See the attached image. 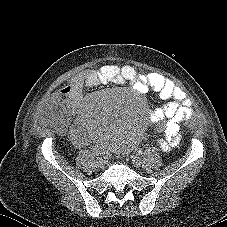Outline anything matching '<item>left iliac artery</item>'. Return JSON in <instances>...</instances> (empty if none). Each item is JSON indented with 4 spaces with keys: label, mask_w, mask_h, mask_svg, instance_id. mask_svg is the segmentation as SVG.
<instances>
[{
    "label": "left iliac artery",
    "mask_w": 227,
    "mask_h": 227,
    "mask_svg": "<svg viewBox=\"0 0 227 227\" xmlns=\"http://www.w3.org/2000/svg\"><path fill=\"white\" fill-rule=\"evenodd\" d=\"M138 154H139V155L142 154V151H139Z\"/></svg>",
    "instance_id": "44dca946"
}]
</instances>
